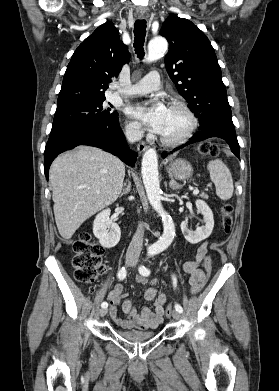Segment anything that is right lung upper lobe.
<instances>
[{
    "label": "right lung upper lobe",
    "mask_w": 279,
    "mask_h": 391,
    "mask_svg": "<svg viewBox=\"0 0 279 391\" xmlns=\"http://www.w3.org/2000/svg\"><path fill=\"white\" fill-rule=\"evenodd\" d=\"M130 60L112 22L100 25L75 50L64 74L57 109L105 99L104 92Z\"/></svg>",
    "instance_id": "obj_1"
}]
</instances>
